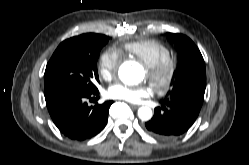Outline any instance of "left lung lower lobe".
I'll return each instance as SVG.
<instances>
[{
  "instance_id": "0a47b994",
  "label": "left lung lower lobe",
  "mask_w": 249,
  "mask_h": 165,
  "mask_svg": "<svg viewBox=\"0 0 249 165\" xmlns=\"http://www.w3.org/2000/svg\"><path fill=\"white\" fill-rule=\"evenodd\" d=\"M204 95L186 92L165 98L161 107L154 110L153 118L145 125L155 137L170 140L185 133L195 122Z\"/></svg>"
}]
</instances>
